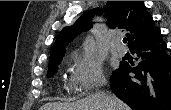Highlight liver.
<instances>
[{
  "instance_id": "liver-1",
  "label": "liver",
  "mask_w": 171,
  "mask_h": 110,
  "mask_svg": "<svg viewBox=\"0 0 171 110\" xmlns=\"http://www.w3.org/2000/svg\"><path fill=\"white\" fill-rule=\"evenodd\" d=\"M40 110H130L129 107L113 94L98 91L73 103H48Z\"/></svg>"
}]
</instances>
